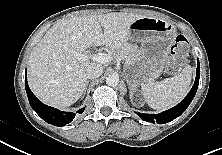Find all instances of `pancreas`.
I'll return each mask as SVG.
<instances>
[{"label":"pancreas","mask_w":222,"mask_h":155,"mask_svg":"<svg viewBox=\"0 0 222 155\" xmlns=\"http://www.w3.org/2000/svg\"><path fill=\"white\" fill-rule=\"evenodd\" d=\"M135 49L134 45H129L128 49L125 51L113 53V57L115 59L126 60L129 61L131 59V53Z\"/></svg>","instance_id":"obj_1"}]
</instances>
